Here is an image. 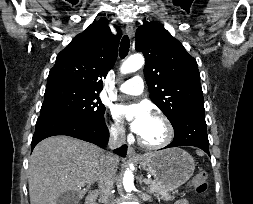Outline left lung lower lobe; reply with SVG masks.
<instances>
[{
  "instance_id": "obj_1",
  "label": "left lung lower lobe",
  "mask_w": 253,
  "mask_h": 204,
  "mask_svg": "<svg viewBox=\"0 0 253 204\" xmlns=\"http://www.w3.org/2000/svg\"><path fill=\"white\" fill-rule=\"evenodd\" d=\"M204 114L205 110L196 109L182 116L173 126L175 131L174 140L165 148L195 146L202 149L210 156Z\"/></svg>"
}]
</instances>
